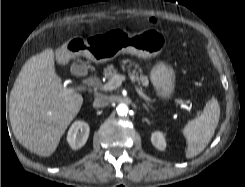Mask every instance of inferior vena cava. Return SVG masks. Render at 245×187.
Returning a JSON list of instances; mask_svg holds the SVG:
<instances>
[{
  "label": "inferior vena cava",
  "mask_w": 245,
  "mask_h": 187,
  "mask_svg": "<svg viewBox=\"0 0 245 187\" xmlns=\"http://www.w3.org/2000/svg\"><path fill=\"white\" fill-rule=\"evenodd\" d=\"M94 104L97 107H106L110 104V98L104 94L98 95L95 98Z\"/></svg>",
  "instance_id": "inferior-vena-cava-1"
}]
</instances>
